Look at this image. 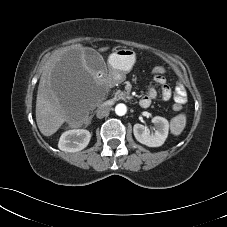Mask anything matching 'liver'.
<instances>
[{
  "mask_svg": "<svg viewBox=\"0 0 227 227\" xmlns=\"http://www.w3.org/2000/svg\"><path fill=\"white\" fill-rule=\"evenodd\" d=\"M109 47H101L104 52ZM81 44H74L55 52L45 63L36 99V122L44 136L53 135L68 121L71 102L80 95L84 83L98 80V73L85 60Z\"/></svg>",
  "mask_w": 227,
  "mask_h": 227,
  "instance_id": "liver-1",
  "label": "liver"
}]
</instances>
